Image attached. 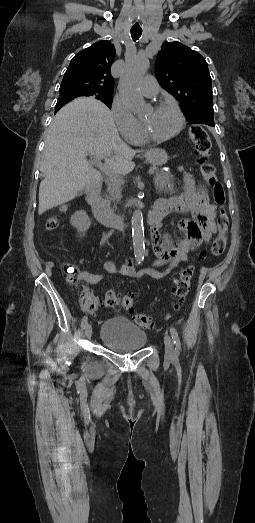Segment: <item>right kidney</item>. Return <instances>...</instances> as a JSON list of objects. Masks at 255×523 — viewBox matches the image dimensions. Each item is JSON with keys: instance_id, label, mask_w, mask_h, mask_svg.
Here are the masks:
<instances>
[{"instance_id": "right-kidney-1", "label": "right kidney", "mask_w": 255, "mask_h": 523, "mask_svg": "<svg viewBox=\"0 0 255 523\" xmlns=\"http://www.w3.org/2000/svg\"><path fill=\"white\" fill-rule=\"evenodd\" d=\"M70 222L74 228H77L78 232H81V234H84V232L89 230L91 226V220L84 210H81V212H75V214L71 216Z\"/></svg>"}]
</instances>
